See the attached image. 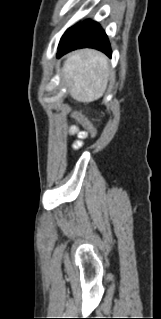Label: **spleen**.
Instances as JSON below:
<instances>
[{"label": "spleen", "mask_w": 161, "mask_h": 319, "mask_svg": "<svg viewBox=\"0 0 161 319\" xmlns=\"http://www.w3.org/2000/svg\"><path fill=\"white\" fill-rule=\"evenodd\" d=\"M71 97L89 103L103 96L109 77L107 58L94 50L70 55L62 69Z\"/></svg>", "instance_id": "1"}]
</instances>
